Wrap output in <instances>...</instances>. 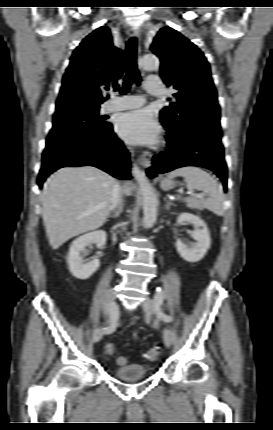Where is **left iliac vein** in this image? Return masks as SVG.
<instances>
[{"label":"left iliac vein","instance_id":"4c4485c4","mask_svg":"<svg viewBox=\"0 0 273 430\" xmlns=\"http://www.w3.org/2000/svg\"><path fill=\"white\" fill-rule=\"evenodd\" d=\"M142 308L148 317L152 316L153 314H157V307H156L155 303L153 302V300L150 299L149 297H147L143 301ZM163 339H164L165 345L167 347H170L172 342H173V336H172L170 330L165 329L163 331Z\"/></svg>","mask_w":273,"mask_h":430}]
</instances>
